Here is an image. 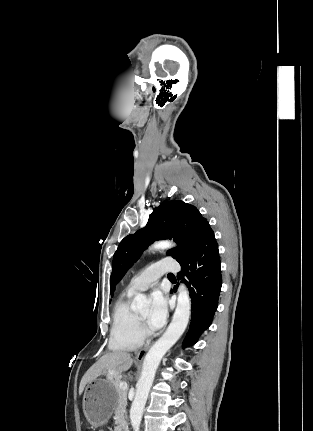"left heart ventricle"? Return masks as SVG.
Masks as SVG:
<instances>
[{
    "label": "left heart ventricle",
    "instance_id": "1",
    "mask_svg": "<svg viewBox=\"0 0 313 431\" xmlns=\"http://www.w3.org/2000/svg\"><path fill=\"white\" fill-rule=\"evenodd\" d=\"M149 310H145V311H143V312H141L140 313V317L145 321V322H147V320H148V317H149Z\"/></svg>",
    "mask_w": 313,
    "mask_h": 431
}]
</instances>
